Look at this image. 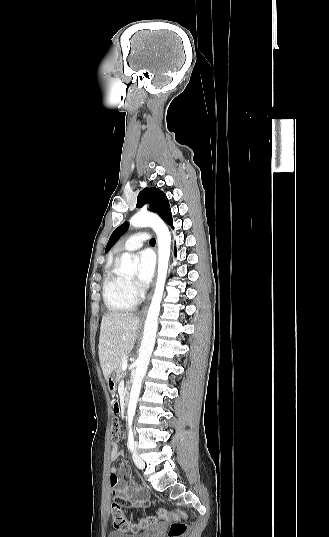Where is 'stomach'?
<instances>
[{
  "label": "stomach",
  "mask_w": 329,
  "mask_h": 537,
  "mask_svg": "<svg viewBox=\"0 0 329 537\" xmlns=\"http://www.w3.org/2000/svg\"><path fill=\"white\" fill-rule=\"evenodd\" d=\"M116 383H117L116 376H115L114 373H112L107 379V384H108L109 391H115Z\"/></svg>",
  "instance_id": "stomach-1"
}]
</instances>
